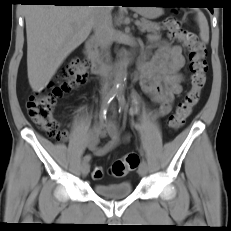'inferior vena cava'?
<instances>
[{
  "mask_svg": "<svg viewBox=\"0 0 231 231\" xmlns=\"http://www.w3.org/2000/svg\"><path fill=\"white\" fill-rule=\"evenodd\" d=\"M94 37L100 46V49L104 51L106 61H109V49L112 45L111 31H112V16L110 6H96L94 9ZM109 70L108 64L104 65L103 69V84L102 90L107 91L109 89Z\"/></svg>",
  "mask_w": 231,
  "mask_h": 231,
  "instance_id": "1",
  "label": "inferior vena cava"
}]
</instances>
